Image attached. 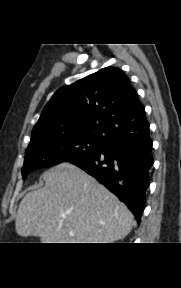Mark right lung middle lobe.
<instances>
[{"label":"right lung middle lobe","mask_w":181,"mask_h":288,"mask_svg":"<svg viewBox=\"0 0 181 288\" xmlns=\"http://www.w3.org/2000/svg\"><path fill=\"white\" fill-rule=\"evenodd\" d=\"M100 140L84 135H53L30 141L26 150L23 179L33 170L73 162L104 148Z\"/></svg>","instance_id":"right-lung-middle-lobe-1"}]
</instances>
